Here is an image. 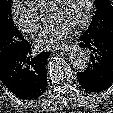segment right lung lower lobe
Returning <instances> with one entry per match:
<instances>
[{
  "mask_svg": "<svg viewBox=\"0 0 113 113\" xmlns=\"http://www.w3.org/2000/svg\"><path fill=\"white\" fill-rule=\"evenodd\" d=\"M30 48L31 45L27 42L0 67V79L3 84L23 100L38 98L47 86L45 65L50 53L41 52L32 57Z\"/></svg>",
  "mask_w": 113,
  "mask_h": 113,
  "instance_id": "right-lung-lower-lobe-1",
  "label": "right lung lower lobe"
}]
</instances>
